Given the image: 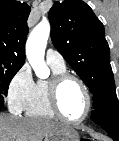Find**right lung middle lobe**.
Listing matches in <instances>:
<instances>
[{"instance_id": "obj_1", "label": "right lung middle lobe", "mask_w": 119, "mask_h": 141, "mask_svg": "<svg viewBox=\"0 0 119 141\" xmlns=\"http://www.w3.org/2000/svg\"><path fill=\"white\" fill-rule=\"evenodd\" d=\"M19 69H0V109L4 105V97L7 96L9 83Z\"/></svg>"}]
</instances>
